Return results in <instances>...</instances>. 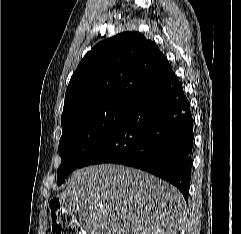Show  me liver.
<instances>
[{"mask_svg":"<svg viewBox=\"0 0 241 234\" xmlns=\"http://www.w3.org/2000/svg\"><path fill=\"white\" fill-rule=\"evenodd\" d=\"M58 197L64 209L78 213L85 234H176L185 218L174 186L122 165L77 170Z\"/></svg>","mask_w":241,"mask_h":234,"instance_id":"1","label":"liver"}]
</instances>
